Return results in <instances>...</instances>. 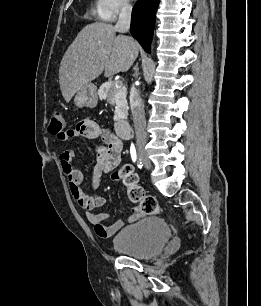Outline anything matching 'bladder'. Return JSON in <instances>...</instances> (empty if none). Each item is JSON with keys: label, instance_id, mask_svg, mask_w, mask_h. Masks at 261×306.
Returning a JSON list of instances; mask_svg holds the SVG:
<instances>
[{"label": "bladder", "instance_id": "bladder-1", "mask_svg": "<svg viewBox=\"0 0 261 306\" xmlns=\"http://www.w3.org/2000/svg\"><path fill=\"white\" fill-rule=\"evenodd\" d=\"M170 238L163 218L150 216L123 227L112 239L113 249L123 255L146 260L157 256Z\"/></svg>", "mask_w": 261, "mask_h": 306}]
</instances>
